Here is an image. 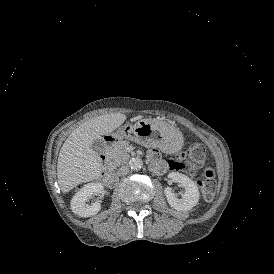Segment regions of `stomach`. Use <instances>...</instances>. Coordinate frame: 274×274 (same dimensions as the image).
I'll return each instance as SVG.
<instances>
[{
	"instance_id": "1",
	"label": "stomach",
	"mask_w": 274,
	"mask_h": 274,
	"mask_svg": "<svg viewBox=\"0 0 274 274\" xmlns=\"http://www.w3.org/2000/svg\"><path fill=\"white\" fill-rule=\"evenodd\" d=\"M112 137L116 140L126 138L145 147H157L167 154L177 153L183 147V137L177 134V128L155 118H143L133 125L125 124Z\"/></svg>"
}]
</instances>
